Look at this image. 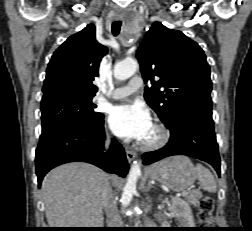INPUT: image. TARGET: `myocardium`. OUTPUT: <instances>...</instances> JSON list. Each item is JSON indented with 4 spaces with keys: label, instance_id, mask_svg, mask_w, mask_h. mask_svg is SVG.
Listing matches in <instances>:
<instances>
[{
    "label": "myocardium",
    "instance_id": "myocardium-1",
    "mask_svg": "<svg viewBox=\"0 0 252 231\" xmlns=\"http://www.w3.org/2000/svg\"><path fill=\"white\" fill-rule=\"evenodd\" d=\"M153 127L158 133V136L153 141H142L141 147L144 150H157L164 147L170 140V131L161 122H155Z\"/></svg>",
    "mask_w": 252,
    "mask_h": 231
}]
</instances>
